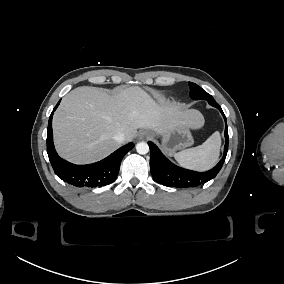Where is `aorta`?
I'll use <instances>...</instances> for the list:
<instances>
[{
    "mask_svg": "<svg viewBox=\"0 0 284 284\" xmlns=\"http://www.w3.org/2000/svg\"><path fill=\"white\" fill-rule=\"evenodd\" d=\"M136 151L142 155L147 154L149 152V146L146 142H139L136 145Z\"/></svg>",
    "mask_w": 284,
    "mask_h": 284,
    "instance_id": "762f6f07",
    "label": "aorta"
}]
</instances>
